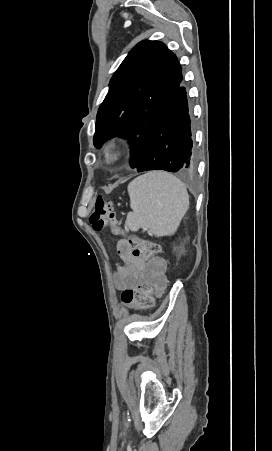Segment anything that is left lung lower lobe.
Returning <instances> with one entry per match:
<instances>
[{
    "label": "left lung lower lobe",
    "mask_w": 272,
    "mask_h": 451,
    "mask_svg": "<svg viewBox=\"0 0 272 451\" xmlns=\"http://www.w3.org/2000/svg\"><path fill=\"white\" fill-rule=\"evenodd\" d=\"M191 136L189 106L182 82L161 111L136 170L185 172L193 169L196 160Z\"/></svg>",
    "instance_id": "1"
}]
</instances>
